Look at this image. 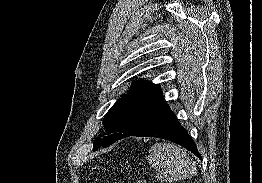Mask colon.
<instances>
[{"label": "colon", "instance_id": "colon-1", "mask_svg": "<svg viewBox=\"0 0 262 183\" xmlns=\"http://www.w3.org/2000/svg\"><path fill=\"white\" fill-rule=\"evenodd\" d=\"M137 183H149V181L147 179H145V178H139L137 180Z\"/></svg>", "mask_w": 262, "mask_h": 183}]
</instances>
